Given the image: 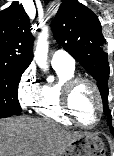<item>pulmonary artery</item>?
<instances>
[{"label":"pulmonary artery","instance_id":"e3ab8cb5","mask_svg":"<svg viewBox=\"0 0 114 156\" xmlns=\"http://www.w3.org/2000/svg\"><path fill=\"white\" fill-rule=\"evenodd\" d=\"M53 66H62L70 69H74L75 60L74 58L64 50H56L51 59Z\"/></svg>","mask_w":114,"mask_h":156}]
</instances>
